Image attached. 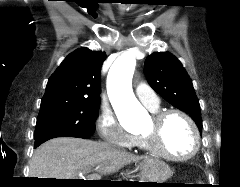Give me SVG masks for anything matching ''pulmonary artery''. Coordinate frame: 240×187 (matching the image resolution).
<instances>
[{
  "mask_svg": "<svg viewBox=\"0 0 240 187\" xmlns=\"http://www.w3.org/2000/svg\"><path fill=\"white\" fill-rule=\"evenodd\" d=\"M138 99L150 110L155 111L159 107V99L153 89L145 83H139L135 87Z\"/></svg>",
  "mask_w": 240,
  "mask_h": 187,
  "instance_id": "1",
  "label": "pulmonary artery"
}]
</instances>
